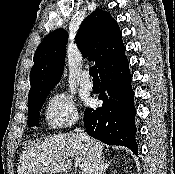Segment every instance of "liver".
Instances as JSON below:
<instances>
[{"label":"liver","instance_id":"6515ba94","mask_svg":"<svg viewBox=\"0 0 175 174\" xmlns=\"http://www.w3.org/2000/svg\"><path fill=\"white\" fill-rule=\"evenodd\" d=\"M102 153L104 144L90 138ZM76 160L83 174L91 168L90 153L86 143L75 133L58 134L24 148L18 165V174H53L67 172L72 167L69 157Z\"/></svg>","mask_w":175,"mask_h":174}]
</instances>
